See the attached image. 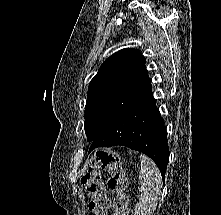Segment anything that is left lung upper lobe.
Instances as JSON below:
<instances>
[{
  "label": "left lung upper lobe",
  "instance_id": "1",
  "mask_svg": "<svg viewBox=\"0 0 221 215\" xmlns=\"http://www.w3.org/2000/svg\"><path fill=\"white\" fill-rule=\"evenodd\" d=\"M151 88L145 58L139 50L122 49L108 58L88 88L84 123L88 141L105 131Z\"/></svg>",
  "mask_w": 221,
  "mask_h": 215
}]
</instances>
